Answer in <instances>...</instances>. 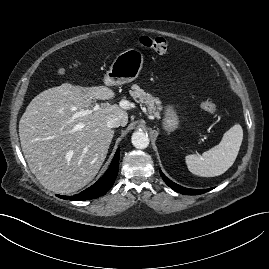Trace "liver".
Segmentation results:
<instances>
[{
  "instance_id": "liver-1",
  "label": "liver",
  "mask_w": 269,
  "mask_h": 269,
  "mask_svg": "<svg viewBox=\"0 0 269 269\" xmlns=\"http://www.w3.org/2000/svg\"><path fill=\"white\" fill-rule=\"evenodd\" d=\"M114 97L106 86L63 83L29 103L19 122L20 142L31 172L45 188L69 194L93 180L114 136L107 121L118 117L121 126H126L128 113L114 104L84 116L74 115L89 110L95 99Z\"/></svg>"
}]
</instances>
